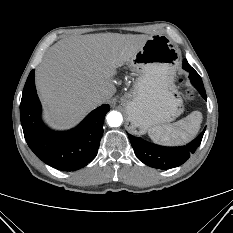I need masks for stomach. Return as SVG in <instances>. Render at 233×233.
<instances>
[{"instance_id":"0dacf381","label":"stomach","mask_w":233,"mask_h":233,"mask_svg":"<svg viewBox=\"0 0 233 233\" xmlns=\"http://www.w3.org/2000/svg\"><path fill=\"white\" fill-rule=\"evenodd\" d=\"M179 59L180 51L168 37L153 35L128 62L137 78L120 101L132 132L144 134L183 112V100L174 84Z\"/></svg>"}]
</instances>
